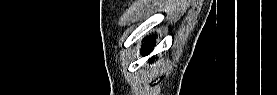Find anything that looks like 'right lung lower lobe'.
Returning <instances> with one entry per match:
<instances>
[{"label": "right lung lower lobe", "instance_id": "1", "mask_svg": "<svg viewBox=\"0 0 277 95\" xmlns=\"http://www.w3.org/2000/svg\"><path fill=\"white\" fill-rule=\"evenodd\" d=\"M154 43V40L152 39V38H148L147 39V43L146 44H144L143 45V51H142V53L144 54V55H147L150 51H151V49H152V44ZM152 61L154 60V57H152V59H151Z\"/></svg>", "mask_w": 277, "mask_h": 95}]
</instances>
